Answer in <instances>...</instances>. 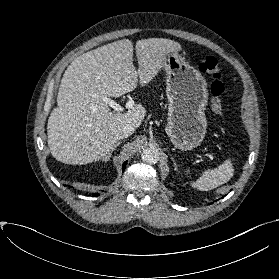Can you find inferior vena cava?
<instances>
[{"label": "inferior vena cava", "mask_w": 279, "mask_h": 279, "mask_svg": "<svg viewBox=\"0 0 279 279\" xmlns=\"http://www.w3.org/2000/svg\"><path fill=\"white\" fill-rule=\"evenodd\" d=\"M135 131L133 126H124L120 132L119 138H127L131 136Z\"/></svg>", "instance_id": "1"}]
</instances>
